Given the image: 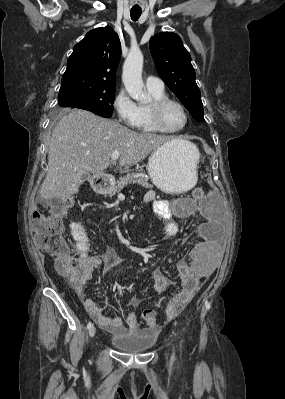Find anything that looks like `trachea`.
Masks as SVG:
<instances>
[{
    "label": "trachea",
    "instance_id": "obj_1",
    "mask_svg": "<svg viewBox=\"0 0 285 399\" xmlns=\"http://www.w3.org/2000/svg\"><path fill=\"white\" fill-rule=\"evenodd\" d=\"M130 14H131V19L133 21H137L140 18L141 14H142V10L131 9Z\"/></svg>",
    "mask_w": 285,
    "mask_h": 399
}]
</instances>
